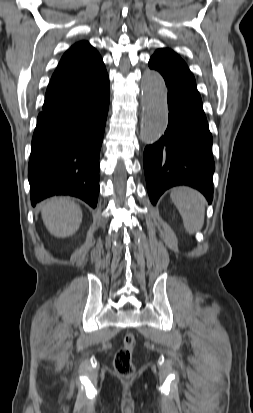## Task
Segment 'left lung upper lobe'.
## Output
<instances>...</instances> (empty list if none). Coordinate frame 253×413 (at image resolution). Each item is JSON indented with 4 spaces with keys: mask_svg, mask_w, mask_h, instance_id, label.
I'll use <instances>...</instances> for the list:
<instances>
[{
    "mask_svg": "<svg viewBox=\"0 0 253 413\" xmlns=\"http://www.w3.org/2000/svg\"><path fill=\"white\" fill-rule=\"evenodd\" d=\"M152 57H156L174 64L187 66L186 63L174 51L168 48L156 50Z\"/></svg>",
    "mask_w": 253,
    "mask_h": 413,
    "instance_id": "5c2ea615",
    "label": "left lung upper lobe"
}]
</instances>
